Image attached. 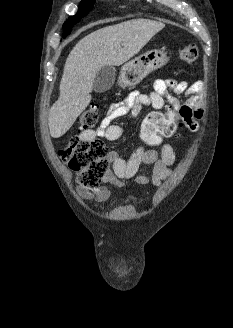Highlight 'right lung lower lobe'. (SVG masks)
<instances>
[{"label":"right lung lower lobe","instance_id":"1","mask_svg":"<svg viewBox=\"0 0 233 328\" xmlns=\"http://www.w3.org/2000/svg\"><path fill=\"white\" fill-rule=\"evenodd\" d=\"M67 35H68V34H64V35H63V38H65Z\"/></svg>","mask_w":233,"mask_h":328}]
</instances>
